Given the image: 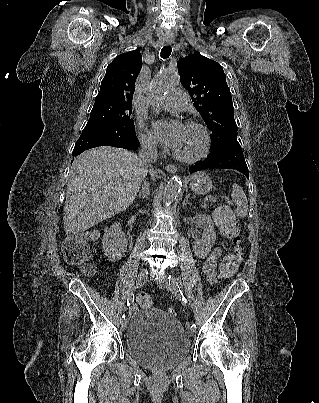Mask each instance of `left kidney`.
I'll return each mask as SVG.
<instances>
[{
    "label": "left kidney",
    "instance_id": "5707ae66",
    "mask_svg": "<svg viewBox=\"0 0 319 403\" xmlns=\"http://www.w3.org/2000/svg\"><path fill=\"white\" fill-rule=\"evenodd\" d=\"M194 222L199 228L203 229V233L201 237L195 238L193 249L197 257L204 258L210 253L211 247L216 240L214 224L211 217L207 214H196L194 216Z\"/></svg>",
    "mask_w": 319,
    "mask_h": 403
}]
</instances>
